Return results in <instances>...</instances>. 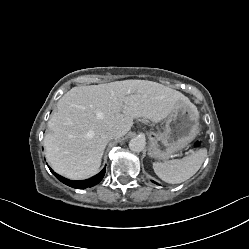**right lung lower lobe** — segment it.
I'll return each mask as SVG.
<instances>
[{
  "label": "right lung lower lobe",
  "mask_w": 249,
  "mask_h": 249,
  "mask_svg": "<svg viewBox=\"0 0 249 249\" xmlns=\"http://www.w3.org/2000/svg\"><path fill=\"white\" fill-rule=\"evenodd\" d=\"M50 171L54 174V176L60 180L61 182H63L64 184L73 187V188H82L85 189L87 187H92L96 184H98L102 178L104 177L105 174V168L97 175L87 179V180H82V181H71L68 179H65L64 177L56 174L51 168Z\"/></svg>",
  "instance_id": "1"
}]
</instances>
